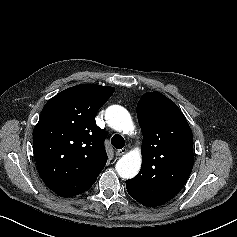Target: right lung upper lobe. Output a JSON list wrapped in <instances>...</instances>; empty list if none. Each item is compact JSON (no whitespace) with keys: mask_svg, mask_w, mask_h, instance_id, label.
Returning <instances> with one entry per match:
<instances>
[{"mask_svg":"<svg viewBox=\"0 0 237 237\" xmlns=\"http://www.w3.org/2000/svg\"><path fill=\"white\" fill-rule=\"evenodd\" d=\"M114 88L81 84L63 90L44 106L33 133L41 179L55 193L76 196L95 183L107 161L106 132L95 115Z\"/></svg>","mask_w":237,"mask_h":237,"instance_id":"obj_1","label":"right lung upper lobe"}]
</instances>
